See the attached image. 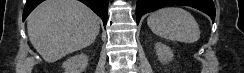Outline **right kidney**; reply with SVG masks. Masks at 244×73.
<instances>
[{
	"mask_svg": "<svg viewBox=\"0 0 244 73\" xmlns=\"http://www.w3.org/2000/svg\"><path fill=\"white\" fill-rule=\"evenodd\" d=\"M88 65L87 55L81 53L67 59L62 67L65 73H82Z\"/></svg>",
	"mask_w": 244,
	"mask_h": 73,
	"instance_id": "ca27d5eb",
	"label": "right kidney"
}]
</instances>
